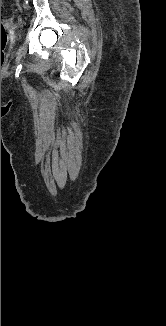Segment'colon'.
<instances>
[{
    "instance_id": "1",
    "label": "colon",
    "mask_w": 166,
    "mask_h": 326,
    "mask_svg": "<svg viewBox=\"0 0 166 326\" xmlns=\"http://www.w3.org/2000/svg\"><path fill=\"white\" fill-rule=\"evenodd\" d=\"M6 44H7V33L3 24L1 23V67L3 66L5 60L4 49L6 47Z\"/></svg>"
}]
</instances>
